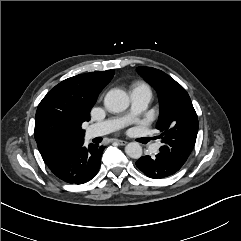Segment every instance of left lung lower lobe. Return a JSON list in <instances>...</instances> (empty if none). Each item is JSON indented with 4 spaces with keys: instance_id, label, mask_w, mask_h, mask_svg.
Here are the masks:
<instances>
[{
    "instance_id": "0a47b994",
    "label": "left lung lower lobe",
    "mask_w": 241,
    "mask_h": 241,
    "mask_svg": "<svg viewBox=\"0 0 241 241\" xmlns=\"http://www.w3.org/2000/svg\"><path fill=\"white\" fill-rule=\"evenodd\" d=\"M136 166L146 176L161 179L176 173L181 167L166 160L160 154L143 156L136 162Z\"/></svg>"
}]
</instances>
